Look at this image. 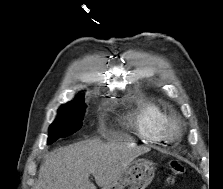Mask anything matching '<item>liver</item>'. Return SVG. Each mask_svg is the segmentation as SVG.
<instances>
[{
    "instance_id": "obj_1",
    "label": "liver",
    "mask_w": 223,
    "mask_h": 189,
    "mask_svg": "<svg viewBox=\"0 0 223 189\" xmlns=\"http://www.w3.org/2000/svg\"><path fill=\"white\" fill-rule=\"evenodd\" d=\"M148 150V149H145ZM142 149L120 142H77L54 150L40 166L35 189H102L111 184Z\"/></svg>"
}]
</instances>
